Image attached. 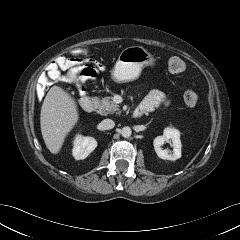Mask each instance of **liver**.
Segmentation results:
<instances>
[{
	"mask_svg": "<svg viewBox=\"0 0 240 240\" xmlns=\"http://www.w3.org/2000/svg\"><path fill=\"white\" fill-rule=\"evenodd\" d=\"M79 113L73 97L59 86L48 91L40 114L41 133L45 145L52 154H57L68 133L77 124Z\"/></svg>",
	"mask_w": 240,
	"mask_h": 240,
	"instance_id": "1",
	"label": "liver"
}]
</instances>
